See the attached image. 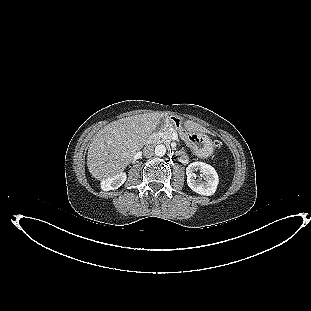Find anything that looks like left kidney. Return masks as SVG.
Masks as SVG:
<instances>
[{
	"mask_svg": "<svg viewBox=\"0 0 311 311\" xmlns=\"http://www.w3.org/2000/svg\"><path fill=\"white\" fill-rule=\"evenodd\" d=\"M200 170L205 181L196 180L194 172ZM187 184L194 192L211 196L216 192L219 183L216 170L204 162H193L186 168Z\"/></svg>",
	"mask_w": 311,
	"mask_h": 311,
	"instance_id": "5707ae66",
	"label": "left kidney"
}]
</instances>
